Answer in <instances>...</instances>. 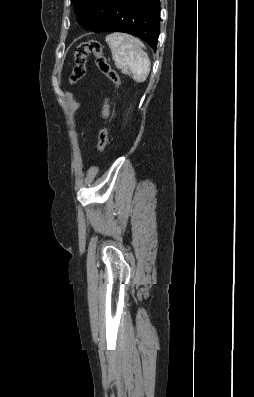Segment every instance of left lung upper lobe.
Segmentation results:
<instances>
[{
  "label": "left lung upper lobe",
  "mask_w": 254,
  "mask_h": 397,
  "mask_svg": "<svg viewBox=\"0 0 254 397\" xmlns=\"http://www.w3.org/2000/svg\"><path fill=\"white\" fill-rule=\"evenodd\" d=\"M107 0H71L75 4L77 22L85 29H94L102 20Z\"/></svg>",
  "instance_id": "left-lung-upper-lobe-1"
}]
</instances>
